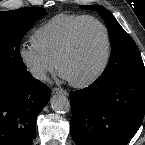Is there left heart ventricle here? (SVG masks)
Segmentation results:
<instances>
[{"instance_id":"obj_1","label":"left heart ventricle","mask_w":145,"mask_h":145,"mask_svg":"<svg viewBox=\"0 0 145 145\" xmlns=\"http://www.w3.org/2000/svg\"><path fill=\"white\" fill-rule=\"evenodd\" d=\"M105 53L103 30L94 22H85L78 31L73 51L61 65V73L69 81L85 80L99 69Z\"/></svg>"}]
</instances>
